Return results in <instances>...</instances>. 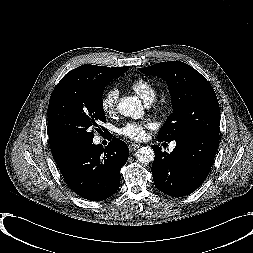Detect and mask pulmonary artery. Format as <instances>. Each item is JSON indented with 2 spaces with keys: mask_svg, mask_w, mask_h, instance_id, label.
I'll list each match as a JSON object with an SVG mask.
<instances>
[{
  "mask_svg": "<svg viewBox=\"0 0 253 253\" xmlns=\"http://www.w3.org/2000/svg\"><path fill=\"white\" fill-rule=\"evenodd\" d=\"M176 146V142H172L170 148L173 149Z\"/></svg>",
  "mask_w": 253,
  "mask_h": 253,
  "instance_id": "obj_1",
  "label": "pulmonary artery"
}]
</instances>
